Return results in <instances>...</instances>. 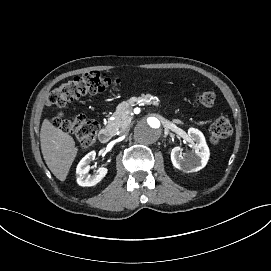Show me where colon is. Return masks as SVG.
Masks as SVG:
<instances>
[{
	"label": "colon",
	"mask_w": 271,
	"mask_h": 271,
	"mask_svg": "<svg viewBox=\"0 0 271 271\" xmlns=\"http://www.w3.org/2000/svg\"><path fill=\"white\" fill-rule=\"evenodd\" d=\"M120 83H122L120 78H111L98 71L88 72L76 76L52 90L48 96L47 105L62 108L83 95L96 94L111 85ZM215 99L216 94L212 90L201 91L196 95L197 103L203 107L212 106ZM53 124L60 130L75 135L79 146L84 150L89 149L95 142L98 124L83 115L55 118ZM232 132L231 122L225 115H219L210 127V136L214 142L228 139Z\"/></svg>",
	"instance_id": "5ec220e1"
}]
</instances>
